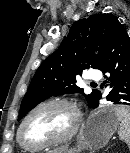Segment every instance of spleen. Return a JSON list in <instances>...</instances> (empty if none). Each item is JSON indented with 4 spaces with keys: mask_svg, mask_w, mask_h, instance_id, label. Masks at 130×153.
<instances>
[{
    "mask_svg": "<svg viewBox=\"0 0 130 153\" xmlns=\"http://www.w3.org/2000/svg\"><path fill=\"white\" fill-rule=\"evenodd\" d=\"M115 112L120 122L118 135L130 148V109L116 107Z\"/></svg>",
    "mask_w": 130,
    "mask_h": 153,
    "instance_id": "spleen-1",
    "label": "spleen"
}]
</instances>
